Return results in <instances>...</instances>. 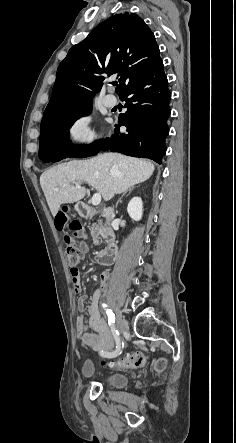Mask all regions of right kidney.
<instances>
[{
	"label": "right kidney",
	"instance_id": "obj_1",
	"mask_svg": "<svg viewBox=\"0 0 236 443\" xmlns=\"http://www.w3.org/2000/svg\"><path fill=\"white\" fill-rule=\"evenodd\" d=\"M127 212L133 220L135 221L141 220L143 213V203L141 198L139 197L132 198L128 203Z\"/></svg>",
	"mask_w": 236,
	"mask_h": 443
}]
</instances>
